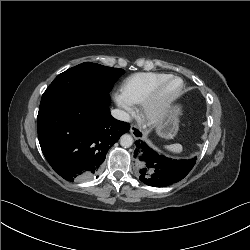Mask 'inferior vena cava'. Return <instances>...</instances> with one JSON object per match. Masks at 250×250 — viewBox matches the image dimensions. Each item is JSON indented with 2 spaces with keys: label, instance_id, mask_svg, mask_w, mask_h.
Instances as JSON below:
<instances>
[{
  "label": "inferior vena cava",
  "instance_id": "obj_1",
  "mask_svg": "<svg viewBox=\"0 0 250 250\" xmlns=\"http://www.w3.org/2000/svg\"><path fill=\"white\" fill-rule=\"evenodd\" d=\"M112 116L117 119V120H121V121H125V122H129L130 121V115L120 109H113L111 111Z\"/></svg>",
  "mask_w": 250,
  "mask_h": 250
}]
</instances>
